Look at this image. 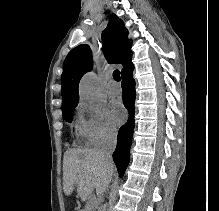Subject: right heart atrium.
<instances>
[{"instance_id": "1", "label": "right heart atrium", "mask_w": 219, "mask_h": 211, "mask_svg": "<svg viewBox=\"0 0 219 211\" xmlns=\"http://www.w3.org/2000/svg\"><path fill=\"white\" fill-rule=\"evenodd\" d=\"M78 111L82 115L81 133L91 145L100 146L115 140L117 128L105 107H93L80 102Z\"/></svg>"}]
</instances>
